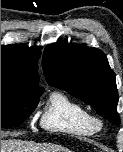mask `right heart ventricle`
Masks as SVG:
<instances>
[{
  "instance_id": "e07e8e85",
  "label": "right heart ventricle",
  "mask_w": 123,
  "mask_h": 152,
  "mask_svg": "<svg viewBox=\"0 0 123 152\" xmlns=\"http://www.w3.org/2000/svg\"><path fill=\"white\" fill-rule=\"evenodd\" d=\"M90 118L91 114L83 105L55 91L49 97L40 122L44 129L52 132L88 137L95 132Z\"/></svg>"
}]
</instances>
